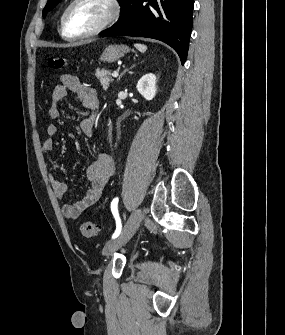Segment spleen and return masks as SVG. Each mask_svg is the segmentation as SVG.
<instances>
[{
	"label": "spleen",
	"mask_w": 285,
	"mask_h": 335,
	"mask_svg": "<svg viewBox=\"0 0 285 335\" xmlns=\"http://www.w3.org/2000/svg\"><path fill=\"white\" fill-rule=\"evenodd\" d=\"M134 46L137 50H139V52H142V54H144L147 50V46H143V44H134Z\"/></svg>",
	"instance_id": "1"
}]
</instances>
